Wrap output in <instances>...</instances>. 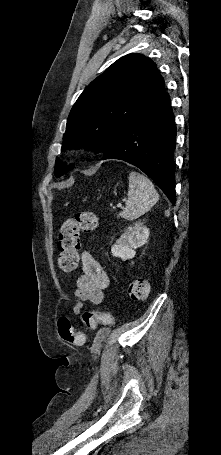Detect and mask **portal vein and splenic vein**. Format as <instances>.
I'll use <instances>...</instances> for the list:
<instances>
[{
    "label": "portal vein and splenic vein",
    "instance_id": "18ae733b",
    "mask_svg": "<svg viewBox=\"0 0 221 455\" xmlns=\"http://www.w3.org/2000/svg\"><path fill=\"white\" fill-rule=\"evenodd\" d=\"M121 207V204H118L117 207H113V209Z\"/></svg>",
    "mask_w": 221,
    "mask_h": 455
}]
</instances>
